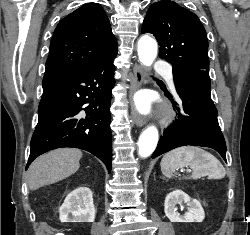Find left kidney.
<instances>
[{
	"label": "left kidney",
	"mask_w": 250,
	"mask_h": 235,
	"mask_svg": "<svg viewBox=\"0 0 250 235\" xmlns=\"http://www.w3.org/2000/svg\"><path fill=\"white\" fill-rule=\"evenodd\" d=\"M186 203L189 208L184 215L177 212V204ZM165 215L171 222H202L205 218L204 210L200 202L192 199L188 194L180 189L170 192L165 198Z\"/></svg>",
	"instance_id": "5707ae66"
}]
</instances>
